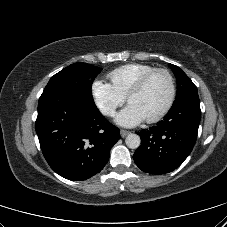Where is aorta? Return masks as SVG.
<instances>
[{"instance_id":"obj_1","label":"aorta","mask_w":227,"mask_h":227,"mask_svg":"<svg viewBox=\"0 0 227 227\" xmlns=\"http://www.w3.org/2000/svg\"><path fill=\"white\" fill-rule=\"evenodd\" d=\"M125 143L127 145V147L131 148V149H137L140 146L141 143V139L139 137V135L137 134H128L126 139H125Z\"/></svg>"}]
</instances>
